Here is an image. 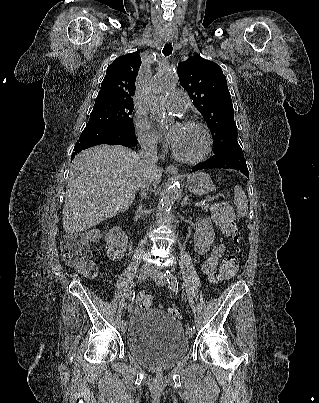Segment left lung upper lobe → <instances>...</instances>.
Masks as SVG:
<instances>
[{"instance_id": "1", "label": "left lung upper lobe", "mask_w": 319, "mask_h": 403, "mask_svg": "<svg viewBox=\"0 0 319 403\" xmlns=\"http://www.w3.org/2000/svg\"><path fill=\"white\" fill-rule=\"evenodd\" d=\"M180 83L207 122L214 139V154L239 146L234 110L221 67L200 55L178 64Z\"/></svg>"}]
</instances>
